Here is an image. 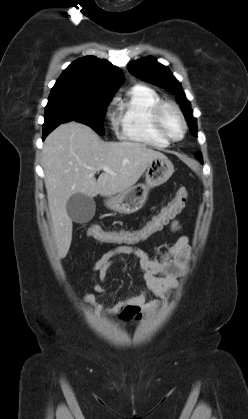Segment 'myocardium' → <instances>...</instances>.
I'll list each match as a JSON object with an SVG mask.
<instances>
[{"mask_svg":"<svg viewBox=\"0 0 248 419\" xmlns=\"http://www.w3.org/2000/svg\"><path fill=\"white\" fill-rule=\"evenodd\" d=\"M166 108H171L173 109L176 114L178 115L181 123H182V133L181 136L178 138H173L172 136H170L164 126H163V122H162V114L163 111ZM151 121H152V126L154 128V130L157 132L158 135H160L163 139H165L168 143H174V142H178L181 141L184 136L186 135L188 126H187V122L185 119V116L183 114V112L181 111V109L179 108V106L172 102V101H160L159 103H157L152 111H151Z\"/></svg>","mask_w":248,"mask_h":419,"instance_id":"f54148a6","label":"myocardium"}]
</instances>
